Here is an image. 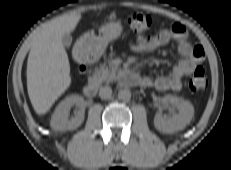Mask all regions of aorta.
Returning <instances> with one entry per match:
<instances>
[{"mask_svg": "<svg viewBox=\"0 0 231 170\" xmlns=\"http://www.w3.org/2000/svg\"><path fill=\"white\" fill-rule=\"evenodd\" d=\"M118 98L123 101H129L131 99V91L127 88L120 89L118 92Z\"/></svg>", "mask_w": 231, "mask_h": 170, "instance_id": "762f6f07", "label": "aorta"}]
</instances>
